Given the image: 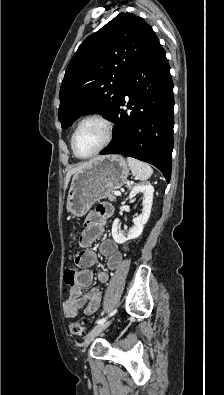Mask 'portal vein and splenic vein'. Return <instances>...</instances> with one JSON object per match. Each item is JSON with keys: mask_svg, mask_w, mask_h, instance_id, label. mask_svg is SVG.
<instances>
[{"mask_svg": "<svg viewBox=\"0 0 224 395\" xmlns=\"http://www.w3.org/2000/svg\"><path fill=\"white\" fill-rule=\"evenodd\" d=\"M114 194H115L116 196H120V195H121V192H120V191H115Z\"/></svg>", "mask_w": 224, "mask_h": 395, "instance_id": "18ae733b", "label": "portal vein and splenic vein"}]
</instances>
